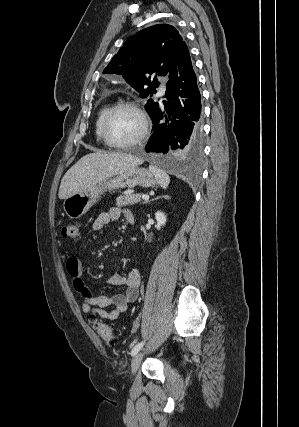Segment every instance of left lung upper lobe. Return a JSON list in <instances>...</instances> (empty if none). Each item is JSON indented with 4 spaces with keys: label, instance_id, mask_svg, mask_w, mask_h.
Wrapping results in <instances>:
<instances>
[{
    "label": "left lung upper lobe",
    "instance_id": "5c2ea615",
    "mask_svg": "<svg viewBox=\"0 0 299 427\" xmlns=\"http://www.w3.org/2000/svg\"><path fill=\"white\" fill-rule=\"evenodd\" d=\"M183 39L175 27L154 25L130 37L104 69V74H120L140 93L152 96L159 85L156 77L166 76ZM156 102L149 99L145 109L150 114Z\"/></svg>",
    "mask_w": 299,
    "mask_h": 427
}]
</instances>
